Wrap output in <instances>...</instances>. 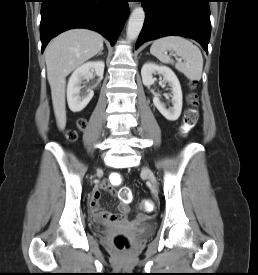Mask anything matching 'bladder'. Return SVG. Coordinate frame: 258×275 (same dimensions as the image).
Wrapping results in <instances>:
<instances>
[{
	"mask_svg": "<svg viewBox=\"0 0 258 275\" xmlns=\"http://www.w3.org/2000/svg\"><path fill=\"white\" fill-rule=\"evenodd\" d=\"M140 228H141L140 229L141 234H147L152 229V223L150 221L146 220L140 224Z\"/></svg>",
	"mask_w": 258,
	"mask_h": 275,
	"instance_id": "obj_1",
	"label": "bladder"
}]
</instances>
